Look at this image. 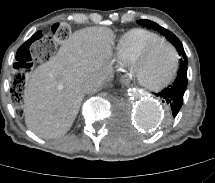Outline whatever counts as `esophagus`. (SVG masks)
<instances>
[{
    "label": "esophagus",
    "instance_id": "obj_1",
    "mask_svg": "<svg viewBox=\"0 0 215 183\" xmlns=\"http://www.w3.org/2000/svg\"><path fill=\"white\" fill-rule=\"evenodd\" d=\"M123 82H124L125 84H128V83H129V79H128V78H125V79H123Z\"/></svg>",
    "mask_w": 215,
    "mask_h": 183
}]
</instances>
